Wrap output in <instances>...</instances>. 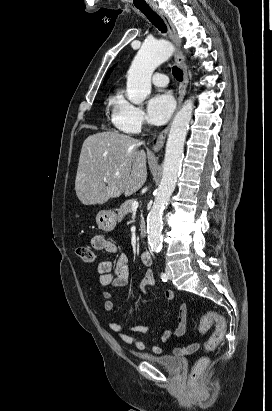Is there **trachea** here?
I'll list each match as a JSON object with an SVG mask.
<instances>
[{
	"instance_id": "1",
	"label": "trachea",
	"mask_w": 272,
	"mask_h": 411,
	"mask_svg": "<svg viewBox=\"0 0 272 411\" xmlns=\"http://www.w3.org/2000/svg\"><path fill=\"white\" fill-rule=\"evenodd\" d=\"M144 15H146V17L149 19V21L156 27L158 28L159 31H161L162 33H166L167 32V27L166 24L164 23V21L162 20V18L157 15L149 6H136ZM172 73L174 75V77L178 80V81H182L183 80V72L181 71V69H179L178 67L174 66L172 68Z\"/></svg>"
}]
</instances>
